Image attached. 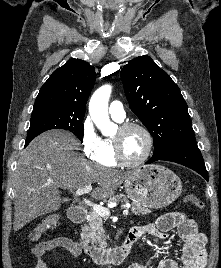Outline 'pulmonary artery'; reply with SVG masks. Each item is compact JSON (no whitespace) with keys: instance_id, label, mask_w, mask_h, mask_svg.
Segmentation results:
<instances>
[{"instance_id":"1","label":"pulmonary artery","mask_w":221,"mask_h":268,"mask_svg":"<svg viewBox=\"0 0 221 268\" xmlns=\"http://www.w3.org/2000/svg\"><path fill=\"white\" fill-rule=\"evenodd\" d=\"M108 111H109L110 116L118 122L123 121L126 117V112L120 101L111 102V104L109 105Z\"/></svg>"}]
</instances>
